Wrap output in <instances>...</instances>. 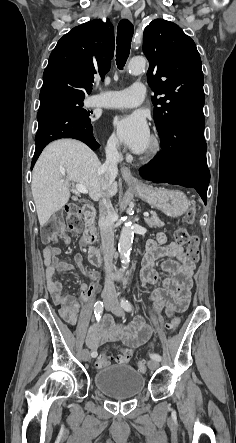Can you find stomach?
<instances>
[{
  "mask_svg": "<svg viewBox=\"0 0 236 443\" xmlns=\"http://www.w3.org/2000/svg\"><path fill=\"white\" fill-rule=\"evenodd\" d=\"M133 191L152 208L162 211L169 217L183 215L189 206L186 195L179 190L143 185L141 188H133Z\"/></svg>",
  "mask_w": 236,
  "mask_h": 443,
  "instance_id": "1",
  "label": "stomach"
}]
</instances>
